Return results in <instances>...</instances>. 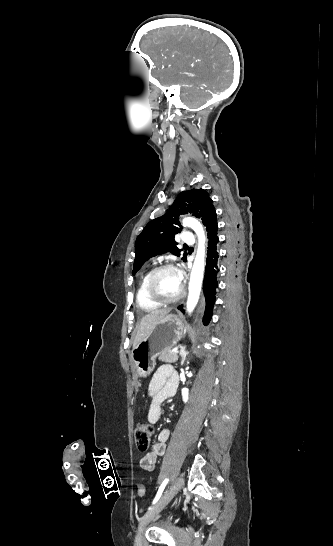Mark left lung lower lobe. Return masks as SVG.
I'll return each instance as SVG.
<instances>
[{
  "mask_svg": "<svg viewBox=\"0 0 333 546\" xmlns=\"http://www.w3.org/2000/svg\"><path fill=\"white\" fill-rule=\"evenodd\" d=\"M206 233L208 238L207 258L205 267V276L203 282V292L205 296V312L203 316V323L208 325L212 317V311L216 299V289L218 287L217 274L218 268V252L217 243L218 239V225L217 215L213 216L208 225L206 226ZM178 309L182 312L183 305L178 306Z\"/></svg>",
  "mask_w": 333,
  "mask_h": 546,
  "instance_id": "1",
  "label": "left lung lower lobe"
}]
</instances>
